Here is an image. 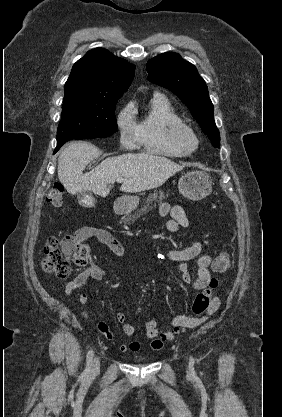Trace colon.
<instances>
[{"label":"colon","mask_w":282,"mask_h":417,"mask_svg":"<svg viewBox=\"0 0 282 417\" xmlns=\"http://www.w3.org/2000/svg\"><path fill=\"white\" fill-rule=\"evenodd\" d=\"M49 203L59 208L63 205V187L55 183L47 190ZM88 249L86 245L69 236H52L45 244V256L41 260V269L45 273H53L57 276H68L74 267H83L88 261ZM232 262L227 252L220 253L214 260L213 267L219 273L228 272ZM218 287V280L211 279L207 287L194 299L191 307L193 315L200 316L206 313L214 305V294ZM164 345L162 340L154 347L156 352Z\"/></svg>","instance_id":"colon-1"}]
</instances>
